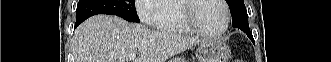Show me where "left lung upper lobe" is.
Listing matches in <instances>:
<instances>
[{
	"mask_svg": "<svg viewBox=\"0 0 331 62\" xmlns=\"http://www.w3.org/2000/svg\"><path fill=\"white\" fill-rule=\"evenodd\" d=\"M226 2L228 3L231 11L232 23L239 24L242 29H245L246 32L251 33L248 25L247 10L243 0H226Z\"/></svg>",
	"mask_w": 331,
	"mask_h": 62,
	"instance_id": "5c2ea615",
	"label": "left lung upper lobe"
}]
</instances>
